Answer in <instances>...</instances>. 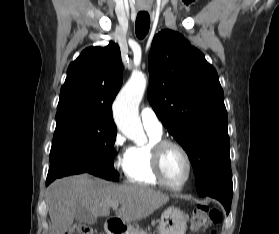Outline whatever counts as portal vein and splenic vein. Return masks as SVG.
Listing matches in <instances>:
<instances>
[{
  "label": "portal vein and splenic vein",
  "mask_w": 279,
  "mask_h": 234,
  "mask_svg": "<svg viewBox=\"0 0 279 234\" xmlns=\"http://www.w3.org/2000/svg\"><path fill=\"white\" fill-rule=\"evenodd\" d=\"M118 206H119L118 203H113V204H112V207H113V208H117Z\"/></svg>",
  "instance_id": "portal-vein-and-splenic-vein-1"
}]
</instances>
